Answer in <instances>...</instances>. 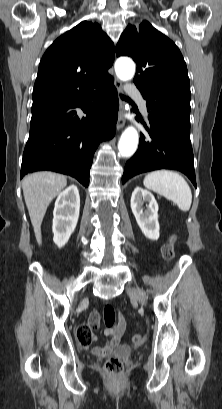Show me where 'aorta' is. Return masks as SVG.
I'll list each match as a JSON object with an SVG mask.
<instances>
[{"label":"aorta","instance_id":"762f6f07","mask_svg":"<svg viewBox=\"0 0 222 409\" xmlns=\"http://www.w3.org/2000/svg\"><path fill=\"white\" fill-rule=\"evenodd\" d=\"M115 72L122 81L131 80L135 74V64L128 58H119L115 63ZM139 136L133 126L127 127L118 142L119 155L124 158L131 157L137 150Z\"/></svg>","mask_w":222,"mask_h":409}]
</instances>
